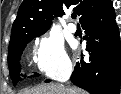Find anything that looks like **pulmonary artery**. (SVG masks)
I'll use <instances>...</instances> for the list:
<instances>
[{
    "label": "pulmonary artery",
    "mask_w": 121,
    "mask_h": 94,
    "mask_svg": "<svg viewBox=\"0 0 121 94\" xmlns=\"http://www.w3.org/2000/svg\"><path fill=\"white\" fill-rule=\"evenodd\" d=\"M68 30L72 33L76 32L77 31V27L74 23H69L68 24Z\"/></svg>",
    "instance_id": "obj_1"
}]
</instances>
